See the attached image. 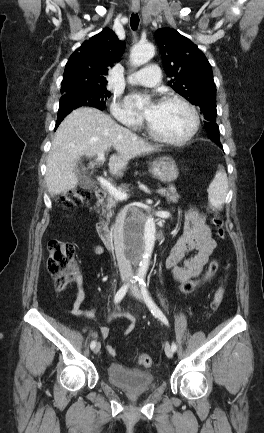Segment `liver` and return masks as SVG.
Returning <instances> with one entry per match:
<instances>
[{
  "label": "liver",
  "mask_w": 264,
  "mask_h": 433,
  "mask_svg": "<svg viewBox=\"0 0 264 433\" xmlns=\"http://www.w3.org/2000/svg\"><path fill=\"white\" fill-rule=\"evenodd\" d=\"M111 147L116 154L109 159V170L120 177L132 158L159 149L96 108L72 111L58 127L48 155L45 180L49 194L55 196L75 189L79 158L93 157Z\"/></svg>",
  "instance_id": "6515ba94"
}]
</instances>
